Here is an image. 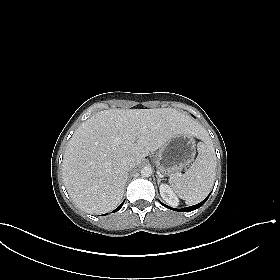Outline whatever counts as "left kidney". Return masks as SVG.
<instances>
[{
	"label": "left kidney",
	"mask_w": 280,
	"mask_h": 280,
	"mask_svg": "<svg viewBox=\"0 0 280 280\" xmlns=\"http://www.w3.org/2000/svg\"><path fill=\"white\" fill-rule=\"evenodd\" d=\"M160 195L167 203L172 206H177L179 204V200L173 190L167 184H161L159 187Z\"/></svg>",
	"instance_id": "1"
}]
</instances>
